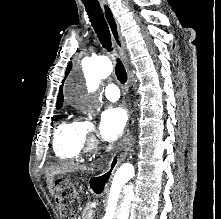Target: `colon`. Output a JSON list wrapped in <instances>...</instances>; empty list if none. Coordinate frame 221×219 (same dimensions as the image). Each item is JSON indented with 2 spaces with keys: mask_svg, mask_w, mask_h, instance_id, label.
<instances>
[{
  "mask_svg": "<svg viewBox=\"0 0 221 219\" xmlns=\"http://www.w3.org/2000/svg\"><path fill=\"white\" fill-rule=\"evenodd\" d=\"M59 191L64 199L71 201V203L77 202L76 192L72 188H70L68 185H61L59 187Z\"/></svg>",
  "mask_w": 221,
  "mask_h": 219,
  "instance_id": "obj_1",
  "label": "colon"
}]
</instances>
